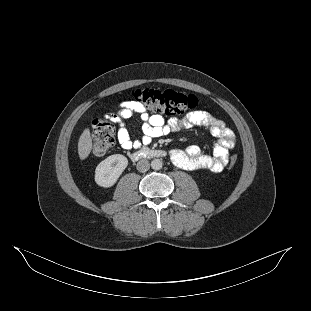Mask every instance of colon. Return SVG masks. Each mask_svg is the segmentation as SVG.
I'll list each match as a JSON object with an SVG mask.
<instances>
[{
  "mask_svg": "<svg viewBox=\"0 0 311 311\" xmlns=\"http://www.w3.org/2000/svg\"><path fill=\"white\" fill-rule=\"evenodd\" d=\"M134 100L146 109L165 115H178L196 107L198 99L193 94L175 90L137 89L132 92ZM93 126V153L96 156L105 155L114 143L115 130L107 120L96 118ZM237 155L231 156L229 167H235Z\"/></svg>",
  "mask_w": 311,
  "mask_h": 311,
  "instance_id": "1",
  "label": "colon"
}]
</instances>
